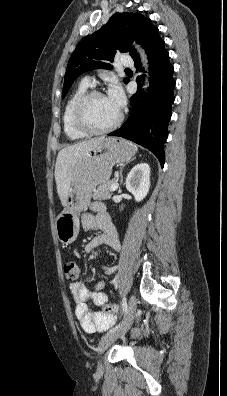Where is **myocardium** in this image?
<instances>
[{
	"instance_id": "1",
	"label": "myocardium",
	"mask_w": 227,
	"mask_h": 396,
	"mask_svg": "<svg viewBox=\"0 0 227 396\" xmlns=\"http://www.w3.org/2000/svg\"><path fill=\"white\" fill-rule=\"evenodd\" d=\"M96 96H104V94L96 89L86 91L78 100L74 110V121L76 126L83 132L92 135L105 134L116 129L123 120V114L119 111L116 120L103 128L94 127L87 116V109L90 101Z\"/></svg>"
}]
</instances>
